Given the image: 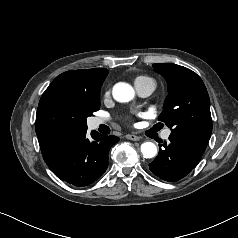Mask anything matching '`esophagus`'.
Returning <instances> with one entry per match:
<instances>
[{"instance_id": "1", "label": "esophagus", "mask_w": 238, "mask_h": 238, "mask_svg": "<svg viewBox=\"0 0 238 238\" xmlns=\"http://www.w3.org/2000/svg\"><path fill=\"white\" fill-rule=\"evenodd\" d=\"M125 138L128 139V140H132V141H139L140 140V137L136 136L134 134H127L125 136Z\"/></svg>"}]
</instances>
